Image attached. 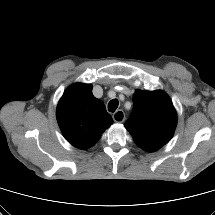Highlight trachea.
I'll return each instance as SVG.
<instances>
[{"label":"trachea","instance_id":"1","mask_svg":"<svg viewBox=\"0 0 215 215\" xmlns=\"http://www.w3.org/2000/svg\"><path fill=\"white\" fill-rule=\"evenodd\" d=\"M118 100L117 99H113V100H111L110 102H109V104H108V111L109 112H114L116 109H117V107H118Z\"/></svg>","mask_w":215,"mask_h":215}]
</instances>
